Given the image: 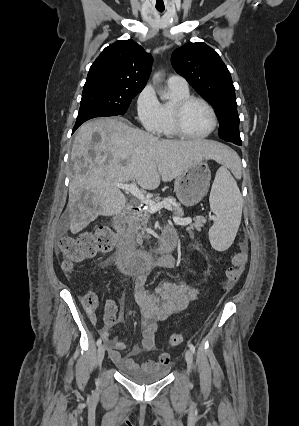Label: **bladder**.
I'll return each mask as SVG.
<instances>
[{
	"mask_svg": "<svg viewBox=\"0 0 299 426\" xmlns=\"http://www.w3.org/2000/svg\"><path fill=\"white\" fill-rule=\"evenodd\" d=\"M168 372L169 368L165 366L122 370V373L126 378L134 383L142 385L158 382L165 378Z\"/></svg>",
	"mask_w": 299,
	"mask_h": 426,
	"instance_id": "1",
	"label": "bladder"
}]
</instances>
